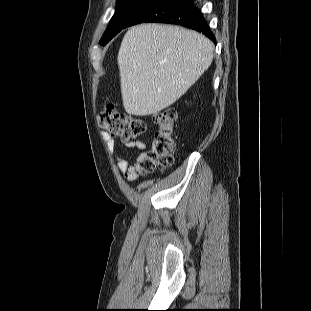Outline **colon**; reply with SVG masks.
<instances>
[{"label": "colon", "instance_id": "colon-1", "mask_svg": "<svg viewBox=\"0 0 311 311\" xmlns=\"http://www.w3.org/2000/svg\"><path fill=\"white\" fill-rule=\"evenodd\" d=\"M176 117L173 109L163 110L155 116L157 128L151 147L140 163L141 173L152 172L173 162ZM98 123L100 127L124 139H135L146 131V123L142 119L121 114L113 106H107L99 113Z\"/></svg>", "mask_w": 311, "mask_h": 311}]
</instances>
